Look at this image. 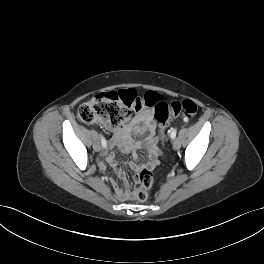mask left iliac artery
Masks as SVG:
<instances>
[{
    "instance_id": "obj_1",
    "label": "left iliac artery",
    "mask_w": 264,
    "mask_h": 264,
    "mask_svg": "<svg viewBox=\"0 0 264 264\" xmlns=\"http://www.w3.org/2000/svg\"><path fill=\"white\" fill-rule=\"evenodd\" d=\"M176 133H177V130L176 129H172L171 134H170V137L172 139H174L176 137Z\"/></svg>"
}]
</instances>
